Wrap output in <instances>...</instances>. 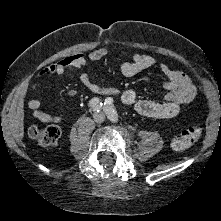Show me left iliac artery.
I'll use <instances>...</instances> for the list:
<instances>
[{
    "mask_svg": "<svg viewBox=\"0 0 221 221\" xmlns=\"http://www.w3.org/2000/svg\"><path fill=\"white\" fill-rule=\"evenodd\" d=\"M104 110L107 114V117L112 122H118V113L113 105V99L108 97L104 102Z\"/></svg>",
    "mask_w": 221,
    "mask_h": 221,
    "instance_id": "left-iliac-artery-1",
    "label": "left iliac artery"
}]
</instances>
